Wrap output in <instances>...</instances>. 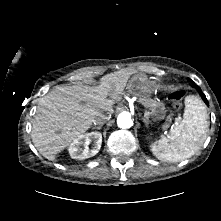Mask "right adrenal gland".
<instances>
[{"mask_svg":"<svg viewBox=\"0 0 221 221\" xmlns=\"http://www.w3.org/2000/svg\"><path fill=\"white\" fill-rule=\"evenodd\" d=\"M101 128H102V125L97 126V127H93V129H97V130H100Z\"/></svg>","mask_w":221,"mask_h":221,"instance_id":"2a0ac1e0","label":"right adrenal gland"}]
</instances>
